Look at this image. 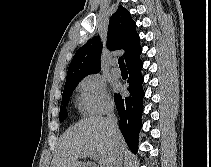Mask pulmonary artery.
<instances>
[{"label":"pulmonary artery","instance_id":"obj_1","mask_svg":"<svg viewBox=\"0 0 211 167\" xmlns=\"http://www.w3.org/2000/svg\"><path fill=\"white\" fill-rule=\"evenodd\" d=\"M111 73L115 76V77H120L121 72L119 70V68L116 67V65L114 64V67L111 70Z\"/></svg>","mask_w":211,"mask_h":167}]
</instances>
